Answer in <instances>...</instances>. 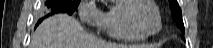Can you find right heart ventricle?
Instances as JSON below:
<instances>
[{"label":"right heart ventricle","instance_id":"1","mask_svg":"<svg viewBox=\"0 0 213 48\" xmlns=\"http://www.w3.org/2000/svg\"><path fill=\"white\" fill-rule=\"evenodd\" d=\"M128 0H120L113 6H111L107 11L103 12V19L101 30L108 35L111 39L125 41V42H136L141 41L144 38L136 36L133 34L125 25L121 9L122 6Z\"/></svg>","mask_w":213,"mask_h":48}]
</instances>
